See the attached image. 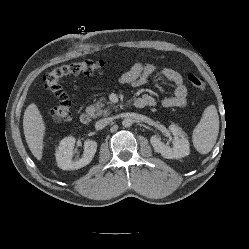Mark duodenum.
Returning <instances> with one entry per match:
<instances>
[{
    "label": "duodenum",
    "mask_w": 249,
    "mask_h": 249,
    "mask_svg": "<svg viewBox=\"0 0 249 249\" xmlns=\"http://www.w3.org/2000/svg\"><path fill=\"white\" fill-rule=\"evenodd\" d=\"M144 105H145V102L142 99H138L135 101V106L137 108H143ZM91 119H92V112L91 111H84L80 115V122L84 125H88L91 122Z\"/></svg>",
    "instance_id": "1"
}]
</instances>
